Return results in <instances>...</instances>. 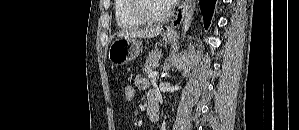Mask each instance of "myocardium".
Returning <instances> with one entry per match:
<instances>
[{"label": "myocardium", "instance_id": "myocardium-1", "mask_svg": "<svg viewBox=\"0 0 299 130\" xmlns=\"http://www.w3.org/2000/svg\"><path fill=\"white\" fill-rule=\"evenodd\" d=\"M151 0H132L134 15L146 23H158L168 20L172 15V6L168 5L167 12L163 15H153L149 12L147 3Z\"/></svg>", "mask_w": 299, "mask_h": 130}]
</instances>
